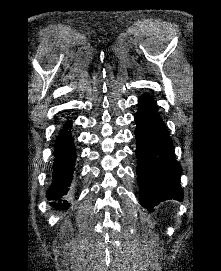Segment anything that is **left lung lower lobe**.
<instances>
[{
    "instance_id": "1",
    "label": "left lung lower lobe",
    "mask_w": 221,
    "mask_h": 271,
    "mask_svg": "<svg viewBox=\"0 0 221 271\" xmlns=\"http://www.w3.org/2000/svg\"><path fill=\"white\" fill-rule=\"evenodd\" d=\"M135 114L137 124V178L140 203L152 209L165 200H183L181 166L175 159L173 143L153 99L144 94Z\"/></svg>"
}]
</instances>
